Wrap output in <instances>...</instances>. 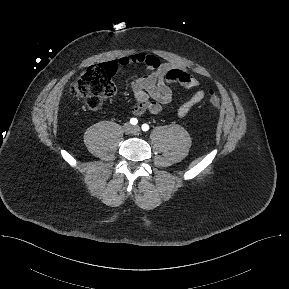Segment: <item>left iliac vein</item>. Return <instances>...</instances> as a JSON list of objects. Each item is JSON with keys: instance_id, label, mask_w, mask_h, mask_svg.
Here are the masks:
<instances>
[{"instance_id": "obj_1", "label": "left iliac vein", "mask_w": 289, "mask_h": 289, "mask_svg": "<svg viewBox=\"0 0 289 289\" xmlns=\"http://www.w3.org/2000/svg\"><path fill=\"white\" fill-rule=\"evenodd\" d=\"M134 131H135V132H139V131H140V127H139V126H135V127H134Z\"/></svg>"}]
</instances>
